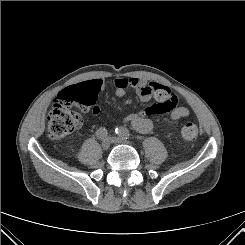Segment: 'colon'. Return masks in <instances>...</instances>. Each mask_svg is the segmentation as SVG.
I'll return each instance as SVG.
<instances>
[{
	"mask_svg": "<svg viewBox=\"0 0 245 245\" xmlns=\"http://www.w3.org/2000/svg\"><path fill=\"white\" fill-rule=\"evenodd\" d=\"M99 92L100 86L95 81L82 82L62 90L48 115L49 138L58 141L77 130L82 118L76 108L85 110L95 105ZM181 135L186 140H194L198 136L197 125L186 123Z\"/></svg>",
	"mask_w": 245,
	"mask_h": 245,
	"instance_id": "obj_1",
	"label": "colon"
}]
</instances>
